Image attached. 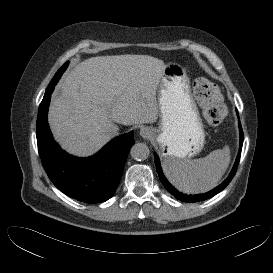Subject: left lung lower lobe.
<instances>
[{"mask_svg":"<svg viewBox=\"0 0 273 273\" xmlns=\"http://www.w3.org/2000/svg\"><path fill=\"white\" fill-rule=\"evenodd\" d=\"M239 128H240V148H239V152L237 155V159L235 161L234 167L230 173V175L228 176V178L219 186H217L215 189L204 193V194H200V195H184L180 192H178L175 188H173L169 182L166 180V178L164 177L162 170H161V166H160V162L158 157L156 156L155 158V165H156V170L157 173L159 174V178L162 182V184L164 185V187L166 188V190L174 195L177 199L184 201V202H198V201H204L208 198L213 197L214 195L218 194L219 192H221L228 184L229 182L232 180V178L234 177L238 164H239V159H240V155H241V149H242V144H243V131H242V127L241 124L239 122Z\"/></svg>","mask_w":273,"mask_h":273,"instance_id":"1","label":"left lung lower lobe"}]
</instances>
